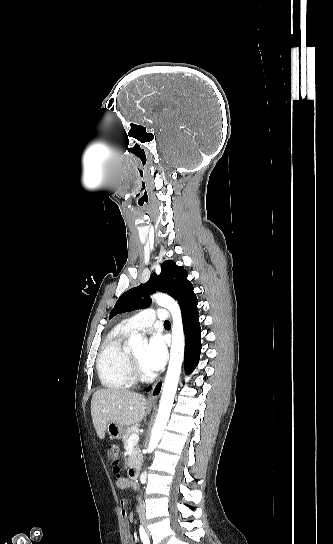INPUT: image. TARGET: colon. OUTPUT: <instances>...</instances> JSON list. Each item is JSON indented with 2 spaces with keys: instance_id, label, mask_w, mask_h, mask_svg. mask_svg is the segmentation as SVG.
<instances>
[{
  "instance_id": "colon-1",
  "label": "colon",
  "mask_w": 333,
  "mask_h": 544,
  "mask_svg": "<svg viewBox=\"0 0 333 544\" xmlns=\"http://www.w3.org/2000/svg\"><path fill=\"white\" fill-rule=\"evenodd\" d=\"M109 460L112 462L113 466H114V469L116 471L119 470V466H118V459H119V450H118V447L117 445L115 444H111L110 447H109Z\"/></svg>"
}]
</instances>
